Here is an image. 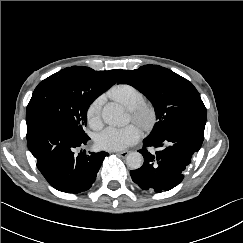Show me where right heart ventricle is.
<instances>
[{"instance_id":"right-heart-ventricle-1","label":"right heart ventricle","mask_w":243,"mask_h":243,"mask_svg":"<svg viewBox=\"0 0 243 243\" xmlns=\"http://www.w3.org/2000/svg\"><path fill=\"white\" fill-rule=\"evenodd\" d=\"M109 95L129 109L134 108L145 100V96L141 90L127 83L113 86L109 91Z\"/></svg>"}]
</instances>
